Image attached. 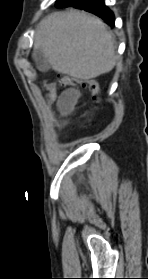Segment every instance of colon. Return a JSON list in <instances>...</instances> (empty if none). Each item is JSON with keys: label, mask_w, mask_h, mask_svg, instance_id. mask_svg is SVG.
Masks as SVG:
<instances>
[{"label": "colon", "mask_w": 148, "mask_h": 279, "mask_svg": "<svg viewBox=\"0 0 148 279\" xmlns=\"http://www.w3.org/2000/svg\"><path fill=\"white\" fill-rule=\"evenodd\" d=\"M79 87L88 88L96 96L100 94V87L97 81L93 79L78 80L69 76H63L56 81L47 83L43 86V89L47 101L56 102L64 91L78 89Z\"/></svg>", "instance_id": "5ec220e1"}]
</instances>
